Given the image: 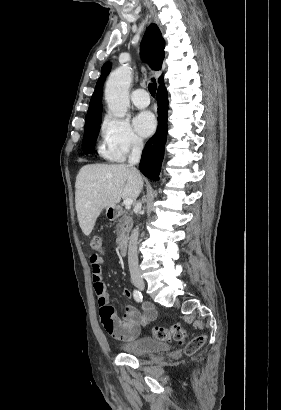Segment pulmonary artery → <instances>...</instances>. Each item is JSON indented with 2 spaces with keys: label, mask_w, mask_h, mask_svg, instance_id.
Masks as SVG:
<instances>
[{
  "label": "pulmonary artery",
  "mask_w": 281,
  "mask_h": 410,
  "mask_svg": "<svg viewBox=\"0 0 281 410\" xmlns=\"http://www.w3.org/2000/svg\"><path fill=\"white\" fill-rule=\"evenodd\" d=\"M131 99L133 104L138 108H145L150 104V97L144 89L135 90Z\"/></svg>",
  "instance_id": "1"
}]
</instances>
